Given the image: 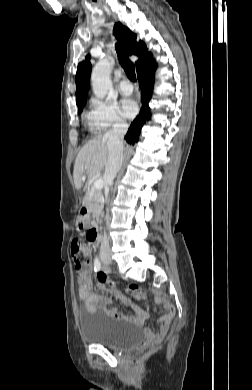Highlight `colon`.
<instances>
[{"label":"colon","instance_id":"obj_1","mask_svg":"<svg viewBox=\"0 0 252 390\" xmlns=\"http://www.w3.org/2000/svg\"><path fill=\"white\" fill-rule=\"evenodd\" d=\"M93 237L92 230H88L86 233V240H83L79 237H75L71 243V254L74 263L75 270L77 272L84 271L87 266L90 264L91 256H92V247L91 243ZM131 292L138 291V287L136 285L130 286Z\"/></svg>","mask_w":252,"mask_h":390}]
</instances>
